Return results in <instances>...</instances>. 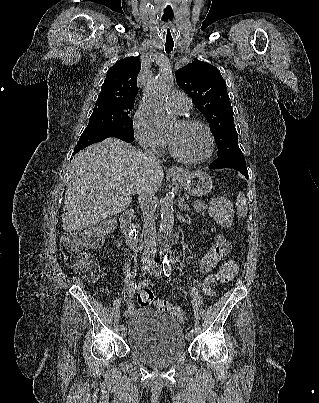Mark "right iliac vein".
Returning <instances> with one entry per match:
<instances>
[{
  "instance_id": "63e3f726",
  "label": "right iliac vein",
  "mask_w": 319,
  "mask_h": 403,
  "mask_svg": "<svg viewBox=\"0 0 319 403\" xmlns=\"http://www.w3.org/2000/svg\"><path fill=\"white\" fill-rule=\"evenodd\" d=\"M150 265H148V264H143V266H142V271L143 272H147V271H149L150 270ZM121 334H122V336H126V328L124 327L122 330H121Z\"/></svg>"
}]
</instances>
